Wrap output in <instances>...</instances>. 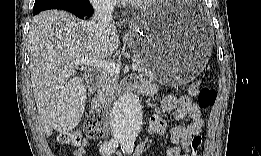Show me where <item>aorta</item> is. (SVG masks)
Masks as SVG:
<instances>
[{
    "instance_id": "aorta-1",
    "label": "aorta",
    "mask_w": 261,
    "mask_h": 156,
    "mask_svg": "<svg viewBox=\"0 0 261 156\" xmlns=\"http://www.w3.org/2000/svg\"><path fill=\"white\" fill-rule=\"evenodd\" d=\"M143 108L135 93L122 95L110 112V126L114 137L123 142H133L141 131Z\"/></svg>"
}]
</instances>
